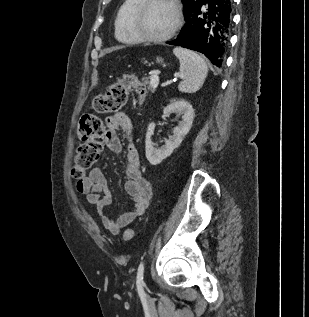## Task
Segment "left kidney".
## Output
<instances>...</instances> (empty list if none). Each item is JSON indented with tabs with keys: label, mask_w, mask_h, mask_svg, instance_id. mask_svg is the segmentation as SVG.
<instances>
[{
	"label": "left kidney",
	"mask_w": 309,
	"mask_h": 317,
	"mask_svg": "<svg viewBox=\"0 0 309 317\" xmlns=\"http://www.w3.org/2000/svg\"><path fill=\"white\" fill-rule=\"evenodd\" d=\"M164 115H170L176 113L182 115V121L179 122L178 126L173 129V136L168 140H165V145L161 148H155L152 142V136L154 134L155 123H150L146 133L145 149L146 158L151 165H158L181 144L183 138L189 132L192 122L194 119V111L192 105L185 100H178L168 105L164 111Z\"/></svg>",
	"instance_id": "5707ae66"
}]
</instances>
